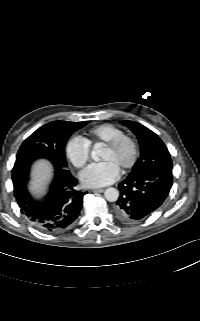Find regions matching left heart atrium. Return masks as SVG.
Returning <instances> with one entry per match:
<instances>
[{"instance_id": "39dd6f15", "label": "left heart atrium", "mask_w": 200, "mask_h": 321, "mask_svg": "<svg viewBox=\"0 0 200 321\" xmlns=\"http://www.w3.org/2000/svg\"><path fill=\"white\" fill-rule=\"evenodd\" d=\"M120 169L109 160L88 165L80 174L81 182L88 187H102L119 177Z\"/></svg>"}]
</instances>
